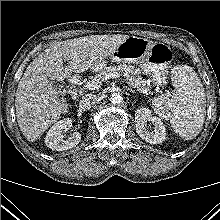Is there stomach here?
Instances as JSON below:
<instances>
[{"instance_id":"stomach-1","label":"stomach","mask_w":220,"mask_h":220,"mask_svg":"<svg viewBox=\"0 0 220 220\" xmlns=\"http://www.w3.org/2000/svg\"><path fill=\"white\" fill-rule=\"evenodd\" d=\"M110 57L115 62L138 65L155 85L162 86L167 84V70L174 54L165 43L132 36L119 45ZM104 65V61L96 62L92 69L98 71Z\"/></svg>"}]
</instances>
